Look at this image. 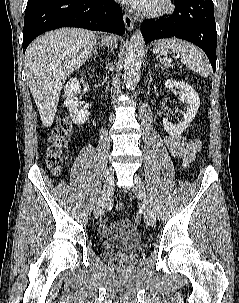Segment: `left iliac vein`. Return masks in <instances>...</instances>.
<instances>
[{"label": "left iliac vein", "instance_id": "obj_1", "mask_svg": "<svg viewBox=\"0 0 239 303\" xmlns=\"http://www.w3.org/2000/svg\"><path fill=\"white\" fill-rule=\"evenodd\" d=\"M132 189L136 196L140 198L143 201L144 205V220L147 225L153 226L156 221V215L155 211L152 205V201L149 198L145 186L143 184V181L141 178L137 175L134 177V185L132 186Z\"/></svg>", "mask_w": 239, "mask_h": 303}]
</instances>
